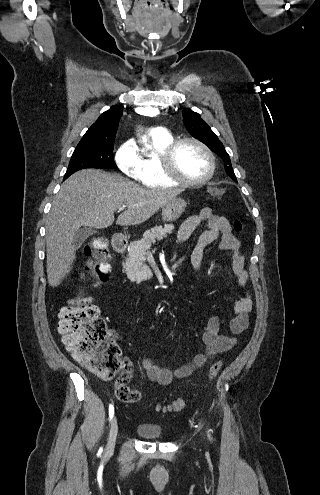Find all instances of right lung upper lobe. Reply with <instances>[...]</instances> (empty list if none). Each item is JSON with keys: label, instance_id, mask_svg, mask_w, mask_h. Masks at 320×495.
Wrapping results in <instances>:
<instances>
[{"label": "right lung upper lobe", "instance_id": "1", "mask_svg": "<svg viewBox=\"0 0 320 495\" xmlns=\"http://www.w3.org/2000/svg\"><path fill=\"white\" fill-rule=\"evenodd\" d=\"M120 106H112L102 113L97 121L87 130L78 145L114 144L119 120L122 116Z\"/></svg>", "mask_w": 320, "mask_h": 495}]
</instances>
